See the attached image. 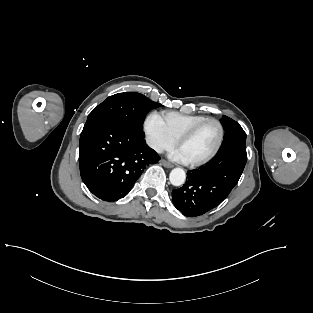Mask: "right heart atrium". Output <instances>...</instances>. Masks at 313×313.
Wrapping results in <instances>:
<instances>
[{
	"instance_id": "right-heart-atrium-1",
	"label": "right heart atrium",
	"mask_w": 313,
	"mask_h": 313,
	"mask_svg": "<svg viewBox=\"0 0 313 313\" xmlns=\"http://www.w3.org/2000/svg\"><path fill=\"white\" fill-rule=\"evenodd\" d=\"M144 132L147 144L157 153L170 150L176 144V141L169 135L160 115L157 113H152L146 118Z\"/></svg>"
}]
</instances>
